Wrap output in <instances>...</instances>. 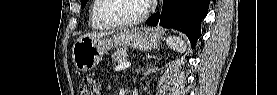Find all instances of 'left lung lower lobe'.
<instances>
[{"mask_svg":"<svg viewBox=\"0 0 277 95\" xmlns=\"http://www.w3.org/2000/svg\"><path fill=\"white\" fill-rule=\"evenodd\" d=\"M210 0H163L161 13L153 14L146 24L174 28L185 33L195 47L201 35V22L208 13Z\"/></svg>","mask_w":277,"mask_h":95,"instance_id":"left-lung-lower-lobe-1","label":"left lung lower lobe"}]
</instances>
